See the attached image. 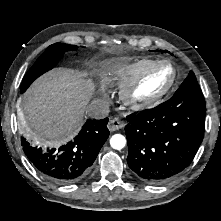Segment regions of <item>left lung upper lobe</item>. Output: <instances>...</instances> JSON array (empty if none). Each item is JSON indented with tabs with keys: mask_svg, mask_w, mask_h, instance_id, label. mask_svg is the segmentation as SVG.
Wrapping results in <instances>:
<instances>
[{
	"mask_svg": "<svg viewBox=\"0 0 221 221\" xmlns=\"http://www.w3.org/2000/svg\"><path fill=\"white\" fill-rule=\"evenodd\" d=\"M170 101L174 106H206L205 99L193 71L189 72L187 78L180 85Z\"/></svg>",
	"mask_w": 221,
	"mask_h": 221,
	"instance_id": "5c2ea615",
	"label": "left lung upper lobe"
}]
</instances>
